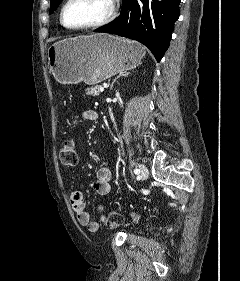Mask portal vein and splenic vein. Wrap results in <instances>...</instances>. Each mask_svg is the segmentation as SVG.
<instances>
[{"label":"portal vein and splenic vein","instance_id":"1","mask_svg":"<svg viewBox=\"0 0 240 281\" xmlns=\"http://www.w3.org/2000/svg\"><path fill=\"white\" fill-rule=\"evenodd\" d=\"M104 89H105V87H100V92H103L104 91Z\"/></svg>","mask_w":240,"mask_h":281}]
</instances>
